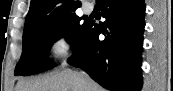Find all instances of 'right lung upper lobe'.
I'll return each instance as SVG.
<instances>
[{"instance_id": "obj_1", "label": "right lung upper lobe", "mask_w": 173, "mask_h": 91, "mask_svg": "<svg viewBox=\"0 0 173 91\" xmlns=\"http://www.w3.org/2000/svg\"><path fill=\"white\" fill-rule=\"evenodd\" d=\"M79 6L74 0H31L24 29L68 17L75 14Z\"/></svg>"}]
</instances>
